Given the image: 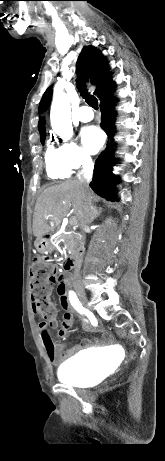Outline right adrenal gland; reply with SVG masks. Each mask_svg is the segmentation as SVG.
I'll return each instance as SVG.
<instances>
[{
  "label": "right adrenal gland",
  "mask_w": 165,
  "mask_h": 461,
  "mask_svg": "<svg viewBox=\"0 0 165 461\" xmlns=\"http://www.w3.org/2000/svg\"><path fill=\"white\" fill-rule=\"evenodd\" d=\"M101 212H102V209H101V208L97 209V207L95 206V207H94V216H93V220L96 219V218H98V217L100 216Z\"/></svg>",
  "instance_id": "1"
}]
</instances>
